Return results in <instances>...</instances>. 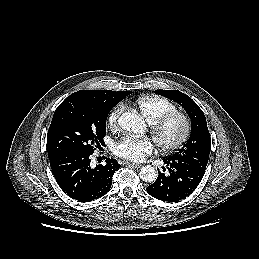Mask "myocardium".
I'll use <instances>...</instances> for the list:
<instances>
[{
  "instance_id": "obj_1",
  "label": "myocardium",
  "mask_w": 259,
  "mask_h": 259,
  "mask_svg": "<svg viewBox=\"0 0 259 259\" xmlns=\"http://www.w3.org/2000/svg\"><path fill=\"white\" fill-rule=\"evenodd\" d=\"M172 121L180 122L181 132L175 140L167 142L163 139L162 132ZM191 129L192 126L189 117L178 110L166 112L150 123L151 134L158 147L164 152H173L181 148L188 141Z\"/></svg>"
}]
</instances>
